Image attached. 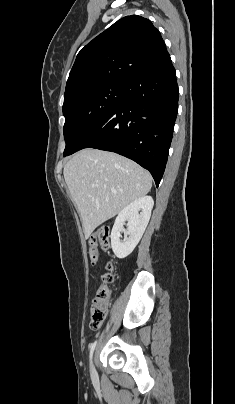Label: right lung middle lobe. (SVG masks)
<instances>
[{"instance_id": "1", "label": "right lung middle lobe", "mask_w": 235, "mask_h": 404, "mask_svg": "<svg viewBox=\"0 0 235 404\" xmlns=\"http://www.w3.org/2000/svg\"><path fill=\"white\" fill-rule=\"evenodd\" d=\"M124 84L110 83L84 91L63 104L64 156L78 146L85 134L121 100Z\"/></svg>"}]
</instances>
